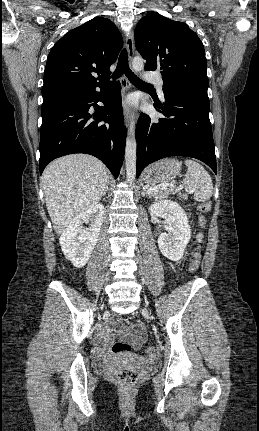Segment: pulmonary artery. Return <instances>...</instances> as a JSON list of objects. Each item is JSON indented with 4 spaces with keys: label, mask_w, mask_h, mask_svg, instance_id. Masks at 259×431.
Wrapping results in <instances>:
<instances>
[{
    "label": "pulmonary artery",
    "mask_w": 259,
    "mask_h": 431,
    "mask_svg": "<svg viewBox=\"0 0 259 431\" xmlns=\"http://www.w3.org/2000/svg\"><path fill=\"white\" fill-rule=\"evenodd\" d=\"M145 79L149 82L155 83L157 85L159 95L163 96V92H162L163 81L160 78V76H158L156 74H152V73H147L145 75Z\"/></svg>",
    "instance_id": "obj_1"
}]
</instances>
